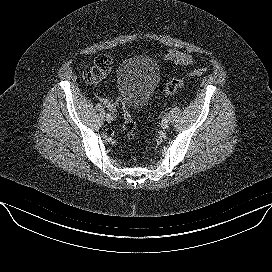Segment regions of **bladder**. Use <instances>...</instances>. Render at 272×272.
I'll list each match as a JSON object with an SVG mask.
<instances>
[{
	"label": "bladder",
	"instance_id": "bladder-1",
	"mask_svg": "<svg viewBox=\"0 0 272 272\" xmlns=\"http://www.w3.org/2000/svg\"><path fill=\"white\" fill-rule=\"evenodd\" d=\"M160 80L157 63L147 56H134L124 61L116 72L117 91L130 108L146 105Z\"/></svg>",
	"mask_w": 272,
	"mask_h": 272
}]
</instances>
